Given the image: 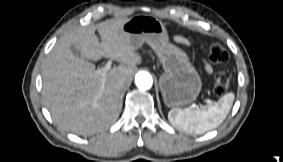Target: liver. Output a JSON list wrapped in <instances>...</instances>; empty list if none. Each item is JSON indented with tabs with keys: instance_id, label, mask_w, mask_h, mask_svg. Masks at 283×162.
Segmentation results:
<instances>
[{
	"instance_id": "6515ba94",
	"label": "liver",
	"mask_w": 283,
	"mask_h": 162,
	"mask_svg": "<svg viewBox=\"0 0 283 162\" xmlns=\"http://www.w3.org/2000/svg\"><path fill=\"white\" fill-rule=\"evenodd\" d=\"M126 20L108 19L96 25L76 27L58 39L44 60L43 99L54 122L62 129L91 135L116 121L122 89L116 81L124 78L125 84H130L137 65L142 62L129 36L121 31ZM71 45L76 46L81 57L72 53ZM102 57L120 63L104 77L87 61Z\"/></svg>"
}]
</instances>
